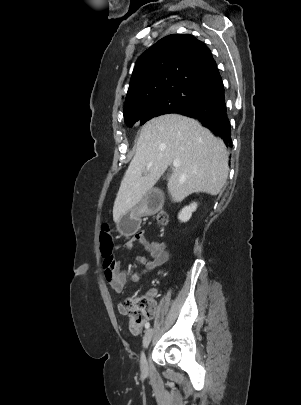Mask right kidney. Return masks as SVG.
I'll return each mask as SVG.
<instances>
[{"mask_svg": "<svg viewBox=\"0 0 301 405\" xmlns=\"http://www.w3.org/2000/svg\"><path fill=\"white\" fill-rule=\"evenodd\" d=\"M197 206H198V204H197L196 202H193V203L190 204L189 206L184 207V208L180 211V213H179V215H178V219H179L181 222H187V221L191 218L192 213H193L194 211H196Z\"/></svg>", "mask_w": 301, "mask_h": 405, "instance_id": "obj_1", "label": "right kidney"}]
</instances>
